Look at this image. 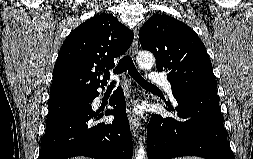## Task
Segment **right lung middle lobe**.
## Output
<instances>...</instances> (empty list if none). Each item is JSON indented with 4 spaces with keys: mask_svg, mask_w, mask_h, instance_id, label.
I'll use <instances>...</instances> for the list:
<instances>
[{
    "mask_svg": "<svg viewBox=\"0 0 253 159\" xmlns=\"http://www.w3.org/2000/svg\"><path fill=\"white\" fill-rule=\"evenodd\" d=\"M91 96L92 95H83L49 101L48 104L49 114L46 123L54 120L55 118H57L58 116H60L61 114L65 113L70 109H73L81 104L89 102Z\"/></svg>",
    "mask_w": 253,
    "mask_h": 159,
    "instance_id": "dd1d6c3e",
    "label": "right lung middle lobe"
}]
</instances>
